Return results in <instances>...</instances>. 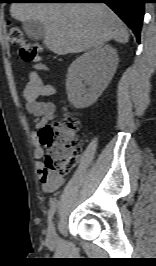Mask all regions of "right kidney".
Masks as SVG:
<instances>
[{"label":"right kidney","instance_id":"obj_1","mask_svg":"<svg viewBox=\"0 0 156 266\" xmlns=\"http://www.w3.org/2000/svg\"><path fill=\"white\" fill-rule=\"evenodd\" d=\"M117 64V50L108 44L78 57L68 68L66 91L69 102L77 109L92 105L110 83Z\"/></svg>","mask_w":156,"mask_h":266}]
</instances>
